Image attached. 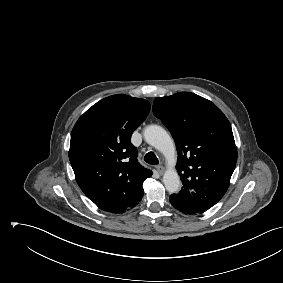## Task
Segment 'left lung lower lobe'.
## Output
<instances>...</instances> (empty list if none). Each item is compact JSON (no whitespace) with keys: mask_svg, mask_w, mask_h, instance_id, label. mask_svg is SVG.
Instances as JSON below:
<instances>
[{"mask_svg":"<svg viewBox=\"0 0 283 283\" xmlns=\"http://www.w3.org/2000/svg\"><path fill=\"white\" fill-rule=\"evenodd\" d=\"M171 205L184 214H195L202 213L199 208H197L194 204L187 201L185 198L172 194L170 196Z\"/></svg>","mask_w":283,"mask_h":283,"instance_id":"obj_1","label":"left lung lower lobe"}]
</instances>
